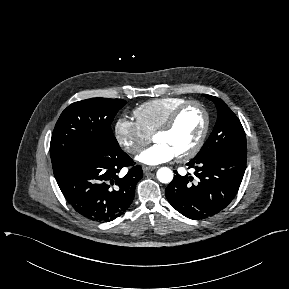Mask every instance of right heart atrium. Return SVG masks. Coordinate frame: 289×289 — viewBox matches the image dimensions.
I'll use <instances>...</instances> for the list:
<instances>
[{
  "label": "right heart atrium",
  "instance_id": "d8ad5b80",
  "mask_svg": "<svg viewBox=\"0 0 289 289\" xmlns=\"http://www.w3.org/2000/svg\"><path fill=\"white\" fill-rule=\"evenodd\" d=\"M114 136L117 143L129 154H136L150 141L140 125L131 119L120 117L114 126Z\"/></svg>",
  "mask_w": 289,
  "mask_h": 289
}]
</instances>
